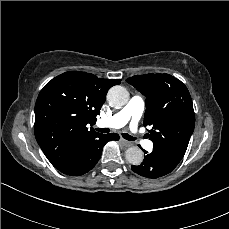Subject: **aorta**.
<instances>
[{
    "label": "aorta",
    "mask_w": 229,
    "mask_h": 229,
    "mask_svg": "<svg viewBox=\"0 0 229 229\" xmlns=\"http://www.w3.org/2000/svg\"><path fill=\"white\" fill-rule=\"evenodd\" d=\"M129 92L123 86L116 85L109 89L107 101L111 107L121 108L128 103ZM125 157L128 163L140 165L144 159V153L138 146H131L125 151Z\"/></svg>",
    "instance_id": "aorta-1"
}]
</instances>
